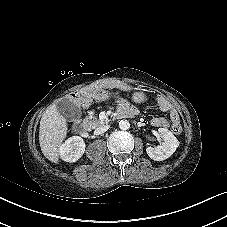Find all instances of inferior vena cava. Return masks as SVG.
<instances>
[{"instance_id": "inferior-vena-cava-1", "label": "inferior vena cava", "mask_w": 227, "mask_h": 227, "mask_svg": "<svg viewBox=\"0 0 227 227\" xmlns=\"http://www.w3.org/2000/svg\"><path fill=\"white\" fill-rule=\"evenodd\" d=\"M108 129H109L108 125H103V126L98 127L97 129H95L94 133L96 135H100V134L106 132Z\"/></svg>"}]
</instances>
